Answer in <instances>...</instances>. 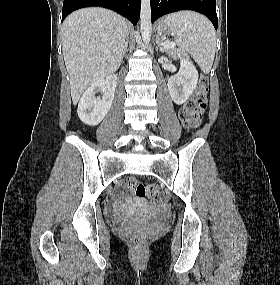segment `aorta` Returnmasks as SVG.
Segmentation results:
<instances>
[{"instance_id":"1","label":"aorta","mask_w":280,"mask_h":285,"mask_svg":"<svg viewBox=\"0 0 280 285\" xmlns=\"http://www.w3.org/2000/svg\"><path fill=\"white\" fill-rule=\"evenodd\" d=\"M140 22H141V35L144 43L147 44L150 41L152 34L150 0H142L141 2Z\"/></svg>"}]
</instances>
